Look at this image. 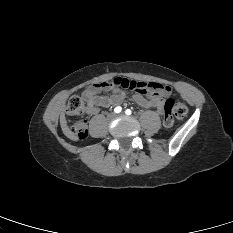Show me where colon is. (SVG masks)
I'll return each mask as SVG.
<instances>
[{
    "mask_svg": "<svg viewBox=\"0 0 233 233\" xmlns=\"http://www.w3.org/2000/svg\"><path fill=\"white\" fill-rule=\"evenodd\" d=\"M108 86H120L121 88L130 89L138 92L156 91L157 86H146L139 81L129 79H115L107 83ZM66 111L68 115L78 117L85 112V104L81 97L72 96L68 101ZM164 120L163 123L166 127H171L174 124V119H183L187 114V107L184 103L173 98H169L164 103ZM68 133L71 137L76 139H85L88 135L87 125L84 120H78L71 124Z\"/></svg>",
    "mask_w": 233,
    "mask_h": 233,
    "instance_id": "obj_1",
    "label": "colon"
}]
</instances>
